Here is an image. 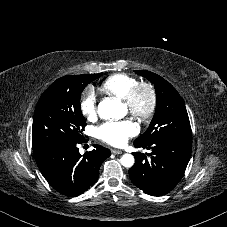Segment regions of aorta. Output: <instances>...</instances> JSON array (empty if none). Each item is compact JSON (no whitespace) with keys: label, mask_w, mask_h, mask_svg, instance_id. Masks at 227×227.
Here are the masks:
<instances>
[{"label":"aorta","mask_w":227,"mask_h":227,"mask_svg":"<svg viewBox=\"0 0 227 227\" xmlns=\"http://www.w3.org/2000/svg\"><path fill=\"white\" fill-rule=\"evenodd\" d=\"M127 113L125 105L119 100L105 99L98 105V114L102 119H121ZM121 164L130 168L134 165V157L131 154H124L121 157Z\"/></svg>","instance_id":"762f6f07"}]
</instances>
